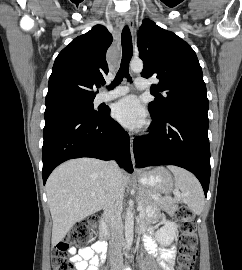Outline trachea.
Here are the masks:
<instances>
[{
	"label": "trachea",
	"mask_w": 242,
	"mask_h": 270,
	"mask_svg": "<svg viewBox=\"0 0 242 270\" xmlns=\"http://www.w3.org/2000/svg\"><path fill=\"white\" fill-rule=\"evenodd\" d=\"M121 44H122V60L120 64V69L114 81L109 86V89H113L115 86L119 85L124 77H126L128 81H131L129 75V63L133 54V46H132V37L128 26H125L123 28L121 36Z\"/></svg>",
	"instance_id": "trachea-1"
}]
</instances>
